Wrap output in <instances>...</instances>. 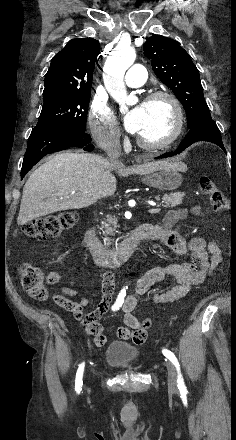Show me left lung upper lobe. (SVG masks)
Instances as JSON below:
<instances>
[{"label":"left lung upper lobe","instance_id":"obj_1","mask_svg":"<svg viewBox=\"0 0 236 440\" xmlns=\"http://www.w3.org/2000/svg\"><path fill=\"white\" fill-rule=\"evenodd\" d=\"M157 77L169 87L185 108L188 128L211 119L199 71L189 54L175 40L154 35L143 45Z\"/></svg>","mask_w":236,"mask_h":440}]
</instances>
